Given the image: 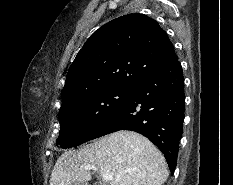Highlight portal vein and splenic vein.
<instances>
[{
  "instance_id": "obj_1",
  "label": "portal vein and splenic vein",
  "mask_w": 233,
  "mask_h": 185,
  "mask_svg": "<svg viewBox=\"0 0 233 185\" xmlns=\"http://www.w3.org/2000/svg\"><path fill=\"white\" fill-rule=\"evenodd\" d=\"M82 168L86 169V170H94L97 171V168L95 166L92 165H83ZM103 180L105 181H110L113 179V176L110 173H106L102 175Z\"/></svg>"
}]
</instances>
